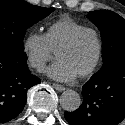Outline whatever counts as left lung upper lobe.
Masks as SVG:
<instances>
[{
  "mask_svg": "<svg viewBox=\"0 0 125 125\" xmlns=\"http://www.w3.org/2000/svg\"><path fill=\"white\" fill-rule=\"evenodd\" d=\"M87 17L101 32L103 41L101 69L113 62L125 61V19L109 10L92 11Z\"/></svg>",
  "mask_w": 125,
  "mask_h": 125,
  "instance_id": "left-lung-upper-lobe-1",
  "label": "left lung upper lobe"
}]
</instances>
